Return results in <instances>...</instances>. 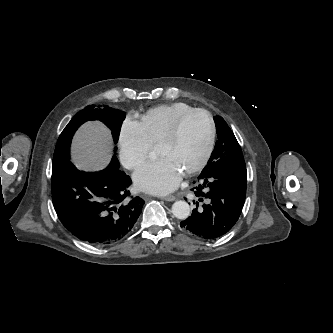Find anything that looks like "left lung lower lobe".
<instances>
[{
    "label": "left lung lower lobe",
    "mask_w": 333,
    "mask_h": 333,
    "mask_svg": "<svg viewBox=\"0 0 333 333\" xmlns=\"http://www.w3.org/2000/svg\"><path fill=\"white\" fill-rule=\"evenodd\" d=\"M246 186L245 168L202 171L193 188L199 199L196 200L192 215L180 223L181 227L203 239L224 235L239 219L245 202Z\"/></svg>",
    "instance_id": "obj_1"
}]
</instances>
